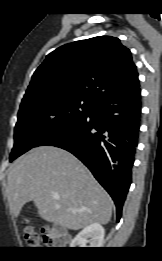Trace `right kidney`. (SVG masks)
I'll use <instances>...</instances> for the list:
<instances>
[{"label":"right kidney","mask_w":162,"mask_h":261,"mask_svg":"<svg viewBox=\"0 0 162 261\" xmlns=\"http://www.w3.org/2000/svg\"><path fill=\"white\" fill-rule=\"evenodd\" d=\"M104 234V228L99 223H93L77 234L71 241L70 247H86L89 243L91 248H100L103 245Z\"/></svg>","instance_id":"obj_1"}]
</instances>
